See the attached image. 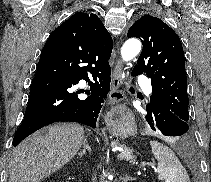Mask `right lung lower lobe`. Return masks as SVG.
Instances as JSON below:
<instances>
[{
  "label": "right lung lower lobe",
  "mask_w": 211,
  "mask_h": 182,
  "mask_svg": "<svg viewBox=\"0 0 211 182\" xmlns=\"http://www.w3.org/2000/svg\"><path fill=\"white\" fill-rule=\"evenodd\" d=\"M109 58L95 48H83L67 25L55 29L41 52L24 120L13 145L54 122L72 121L96 128L102 103L110 91ZM81 79L89 82L90 90L85 93L90 96L86 99L78 97L84 91L74 89Z\"/></svg>",
  "instance_id": "1"
}]
</instances>
